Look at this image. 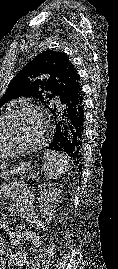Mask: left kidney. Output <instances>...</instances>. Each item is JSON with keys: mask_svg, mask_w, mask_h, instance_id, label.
I'll list each match as a JSON object with an SVG mask.
<instances>
[{"mask_svg": "<svg viewBox=\"0 0 118 269\" xmlns=\"http://www.w3.org/2000/svg\"><path fill=\"white\" fill-rule=\"evenodd\" d=\"M38 200V207L41 217L45 220L47 224L56 216V208L59 206V198L61 190L57 188H46L40 187Z\"/></svg>", "mask_w": 118, "mask_h": 269, "instance_id": "left-kidney-1", "label": "left kidney"}]
</instances>
